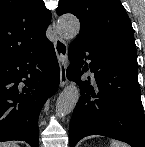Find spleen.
<instances>
[{
  "mask_svg": "<svg viewBox=\"0 0 145 147\" xmlns=\"http://www.w3.org/2000/svg\"><path fill=\"white\" fill-rule=\"evenodd\" d=\"M110 147H126V145H124L121 142H117V141H113L110 145Z\"/></svg>",
  "mask_w": 145,
  "mask_h": 147,
  "instance_id": "spleen-1",
  "label": "spleen"
}]
</instances>
